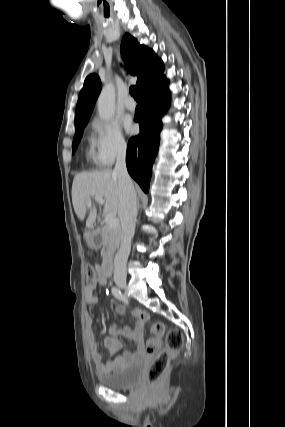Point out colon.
Masks as SVG:
<instances>
[{"label":"colon","mask_w":285,"mask_h":427,"mask_svg":"<svg viewBox=\"0 0 285 427\" xmlns=\"http://www.w3.org/2000/svg\"><path fill=\"white\" fill-rule=\"evenodd\" d=\"M87 281L94 282L97 278V272L93 265L88 264L85 268ZM164 333V327L161 323H153L149 329L147 339L148 352H155L159 345L161 336ZM183 345V336L177 329H170L165 334V349L158 352L151 362L147 371V382L155 385L165 373L169 362L175 352L180 350Z\"/></svg>","instance_id":"5ec220e1"}]
</instances>
